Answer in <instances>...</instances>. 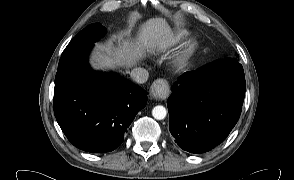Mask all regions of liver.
Returning a JSON list of instances; mask_svg holds the SVG:
<instances>
[{
  "label": "liver",
  "instance_id": "1",
  "mask_svg": "<svg viewBox=\"0 0 294 180\" xmlns=\"http://www.w3.org/2000/svg\"><path fill=\"white\" fill-rule=\"evenodd\" d=\"M169 32V27L162 18H151L141 27L139 38L135 42L123 40L118 47H102L93 52L91 65L96 69L132 67L144 56V50L153 48Z\"/></svg>",
  "mask_w": 294,
  "mask_h": 180
}]
</instances>
